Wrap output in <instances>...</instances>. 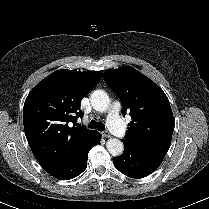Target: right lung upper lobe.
I'll list each match as a JSON object with an SVG mask.
<instances>
[{"instance_id":"1","label":"right lung upper lobe","mask_w":209,"mask_h":209,"mask_svg":"<svg viewBox=\"0 0 209 209\" xmlns=\"http://www.w3.org/2000/svg\"><path fill=\"white\" fill-rule=\"evenodd\" d=\"M102 72L58 70L39 82L23 108L27 141L40 165L50 175L65 167L95 132L71 127L82 117L80 101L93 90Z\"/></svg>"}]
</instances>
